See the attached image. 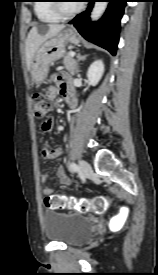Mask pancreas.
<instances>
[{"label": "pancreas", "mask_w": 158, "mask_h": 275, "mask_svg": "<svg viewBox=\"0 0 158 275\" xmlns=\"http://www.w3.org/2000/svg\"><path fill=\"white\" fill-rule=\"evenodd\" d=\"M63 64L65 69L72 75H74L77 69V63L75 59L71 56V52H68L63 59Z\"/></svg>", "instance_id": "cf45deb5"}]
</instances>
